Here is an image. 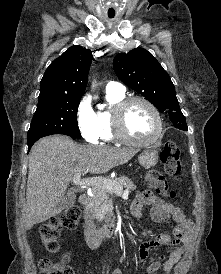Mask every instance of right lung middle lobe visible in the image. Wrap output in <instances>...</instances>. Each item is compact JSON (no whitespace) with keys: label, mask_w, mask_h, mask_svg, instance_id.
<instances>
[{"label":"right lung middle lobe","mask_w":221,"mask_h":274,"mask_svg":"<svg viewBox=\"0 0 221 274\" xmlns=\"http://www.w3.org/2000/svg\"><path fill=\"white\" fill-rule=\"evenodd\" d=\"M81 97L39 99L27 143L53 134L80 138L77 111Z\"/></svg>","instance_id":"1"}]
</instances>
